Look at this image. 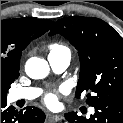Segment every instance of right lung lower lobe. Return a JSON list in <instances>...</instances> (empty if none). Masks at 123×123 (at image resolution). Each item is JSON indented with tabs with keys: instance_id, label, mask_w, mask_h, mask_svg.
<instances>
[{
	"instance_id": "1",
	"label": "right lung lower lobe",
	"mask_w": 123,
	"mask_h": 123,
	"mask_svg": "<svg viewBox=\"0 0 123 123\" xmlns=\"http://www.w3.org/2000/svg\"><path fill=\"white\" fill-rule=\"evenodd\" d=\"M45 114L36 107H26L17 111L7 105L6 98H1V123H43Z\"/></svg>"
}]
</instances>
